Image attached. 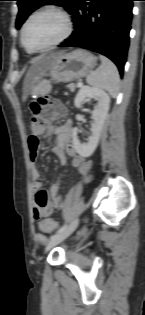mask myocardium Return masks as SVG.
Here are the masks:
<instances>
[{
  "label": "myocardium",
  "instance_id": "f54148a6",
  "mask_svg": "<svg viewBox=\"0 0 145 315\" xmlns=\"http://www.w3.org/2000/svg\"><path fill=\"white\" fill-rule=\"evenodd\" d=\"M43 14H52L54 16H57L62 21L63 32L57 39H55L54 41L50 42L49 44L45 46L30 47L27 45L25 41V31H26L27 25L33 18L39 15H43ZM71 32H72V22H71L70 16L66 12L58 8L46 7V8H42L40 10L33 12L27 17V19L25 20L21 28V43L24 46V48L29 52H42V51L49 50L61 44L62 42H64L70 36Z\"/></svg>",
  "mask_w": 145,
  "mask_h": 315
}]
</instances>
